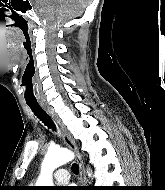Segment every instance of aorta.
Here are the masks:
<instances>
[{
	"instance_id": "aorta-1",
	"label": "aorta",
	"mask_w": 165,
	"mask_h": 190,
	"mask_svg": "<svg viewBox=\"0 0 165 190\" xmlns=\"http://www.w3.org/2000/svg\"><path fill=\"white\" fill-rule=\"evenodd\" d=\"M74 155L68 149H49L44 157L41 174L37 181V186H53L52 173L61 165L71 161Z\"/></svg>"
}]
</instances>
